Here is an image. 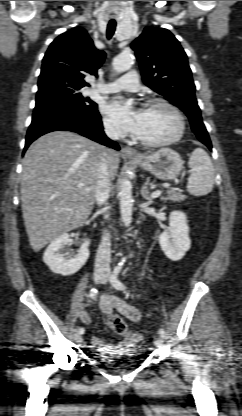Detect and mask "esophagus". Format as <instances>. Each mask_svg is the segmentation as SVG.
I'll return each mask as SVG.
<instances>
[{
    "label": "esophagus",
    "instance_id": "1",
    "mask_svg": "<svg viewBox=\"0 0 242 416\" xmlns=\"http://www.w3.org/2000/svg\"><path fill=\"white\" fill-rule=\"evenodd\" d=\"M123 154L129 158H141V155L132 147L125 146L122 149Z\"/></svg>",
    "mask_w": 242,
    "mask_h": 416
}]
</instances>
